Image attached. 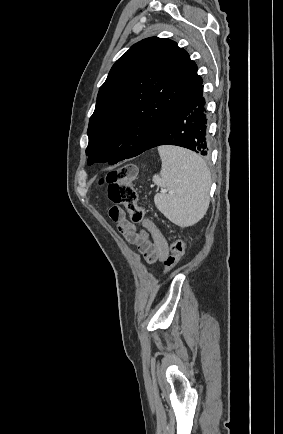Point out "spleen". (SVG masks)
<instances>
[{"label": "spleen", "instance_id": "1", "mask_svg": "<svg viewBox=\"0 0 283 434\" xmlns=\"http://www.w3.org/2000/svg\"><path fill=\"white\" fill-rule=\"evenodd\" d=\"M158 152L162 168L160 175L153 176V182L168 193L157 194L155 205L174 224L192 226L209 207L210 171L199 155L187 149L161 146Z\"/></svg>", "mask_w": 283, "mask_h": 434}]
</instances>
